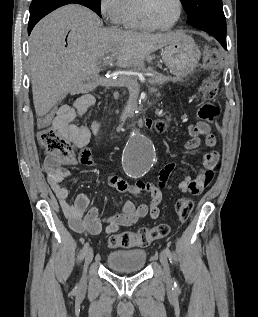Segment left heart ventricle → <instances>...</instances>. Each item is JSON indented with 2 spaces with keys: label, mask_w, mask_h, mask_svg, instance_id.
<instances>
[{
  "label": "left heart ventricle",
  "mask_w": 258,
  "mask_h": 317,
  "mask_svg": "<svg viewBox=\"0 0 258 317\" xmlns=\"http://www.w3.org/2000/svg\"><path fill=\"white\" fill-rule=\"evenodd\" d=\"M177 16V5L173 0H154L146 11V19L152 26L171 24Z\"/></svg>",
  "instance_id": "b2bd125f"
}]
</instances>
